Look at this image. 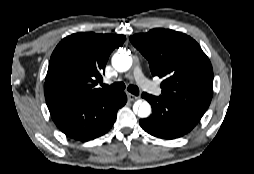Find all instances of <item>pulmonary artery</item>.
<instances>
[{"instance_id":"e3ab8cb5","label":"pulmonary artery","mask_w":254,"mask_h":174,"mask_svg":"<svg viewBox=\"0 0 254 174\" xmlns=\"http://www.w3.org/2000/svg\"><path fill=\"white\" fill-rule=\"evenodd\" d=\"M133 76L137 84L144 90L150 92L153 95H160L161 90L159 87L151 83L142 73L140 67H136L133 71Z\"/></svg>"}]
</instances>
